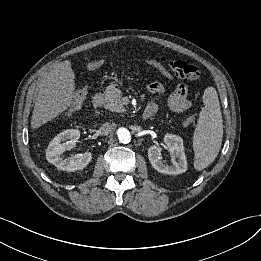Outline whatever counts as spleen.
Segmentation results:
<instances>
[{
  "instance_id": "1",
  "label": "spleen",
  "mask_w": 261,
  "mask_h": 261,
  "mask_svg": "<svg viewBox=\"0 0 261 261\" xmlns=\"http://www.w3.org/2000/svg\"><path fill=\"white\" fill-rule=\"evenodd\" d=\"M193 136L194 168L203 170L217 157L223 137V121L218 94L213 87L205 90Z\"/></svg>"
}]
</instances>
